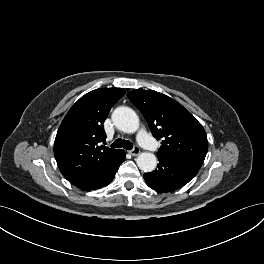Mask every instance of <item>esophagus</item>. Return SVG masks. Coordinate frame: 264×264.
Wrapping results in <instances>:
<instances>
[{"label": "esophagus", "instance_id": "obj_1", "mask_svg": "<svg viewBox=\"0 0 264 264\" xmlns=\"http://www.w3.org/2000/svg\"><path fill=\"white\" fill-rule=\"evenodd\" d=\"M129 153L132 155V156H137L139 153H140V149L138 146H135L132 150L129 151Z\"/></svg>", "mask_w": 264, "mask_h": 264}]
</instances>
